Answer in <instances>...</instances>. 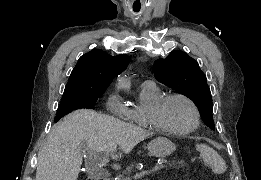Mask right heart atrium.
<instances>
[{
    "mask_svg": "<svg viewBox=\"0 0 261 180\" xmlns=\"http://www.w3.org/2000/svg\"><path fill=\"white\" fill-rule=\"evenodd\" d=\"M118 98V93L116 90H114L113 92H111V94L109 95L107 101L108 103H114L117 101ZM113 114H119V117H122V120L125 119V115L123 114V112L118 111V112H114ZM125 127V125H124Z\"/></svg>",
    "mask_w": 261,
    "mask_h": 180,
    "instance_id": "d8ad5b80",
    "label": "right heart atrium"
}]
</instances>
